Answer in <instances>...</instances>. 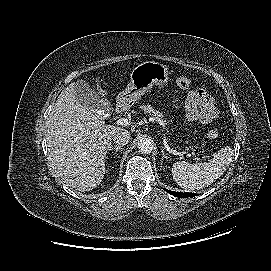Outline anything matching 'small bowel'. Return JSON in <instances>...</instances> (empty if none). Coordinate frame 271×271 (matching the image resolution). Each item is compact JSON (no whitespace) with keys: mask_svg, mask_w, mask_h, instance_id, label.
Wrapping results in <instances>:
<instances>
[{"mask_svg":"<svg viewBox=\"0 0 271 271\" xmlns=\"http://www.w3.org/2000/svg\"><path fill=\"white\" fill-rule=\"evenodd\" d=\"M186 114L190 121L209 123L219 115L215 100L203 89L190 92L186 99Z\"/></svg>","mask_w":271,"mask_h":271,"instance_id":"c3829d8e","label":"small bowel"}]
</instances>
